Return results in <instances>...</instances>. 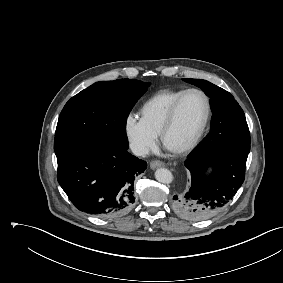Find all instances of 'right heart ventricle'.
I'll use <instances>...</instances> for the list:
<instances>
[{"instance_id":"1","label":"right heart ventricle","mask_w":283,"mask_h":283,"mask_svg":"<svg viewBox=\"0 0 283 283\" xmlns=\"http://www.w3.org/2000/svg\"><path fill=\"white\" fill-rule=\"evenodd\" d=\"M185 89H164L148 98L140 109V119L144 125L156 136L166 119V116Z\"/></svg>"}]
</instances>
